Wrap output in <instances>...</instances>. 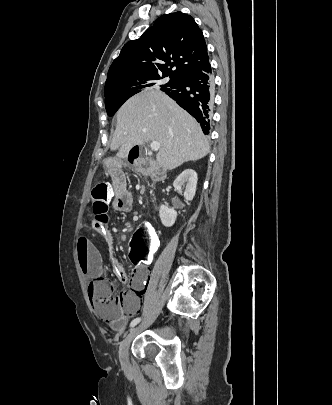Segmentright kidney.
Wrapping results in <instances>:
<instances>
[{
  "instance_id": "right-kidney-1",
  "label": "right kidney",
  "mask_w": 332,
  "mask_h": 405,
  "mask_svg": "<svg viewBox=\"0 0 332 405\" xmlns=\"http://www.w3.org/2000/svg\"><path fill=\"white\" fill-rule=\"evenodd\" d=\"M197 180V173L192 169H186L174 180L173 186L179 192L185 187L184 197L187 201H191L196 193ZM159 217L163 226L172 227L177 219V211L161 205Z\"/></svg>"
}]
</instances>
